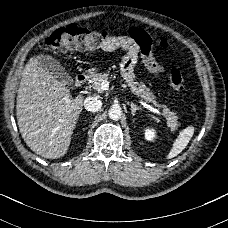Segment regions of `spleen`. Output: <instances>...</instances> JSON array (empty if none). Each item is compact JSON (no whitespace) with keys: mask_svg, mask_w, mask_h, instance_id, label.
Wrapping results in <instances>:
<instances>
[{"mask_svg":"<svg viewBox=\"0 0 228 228\" xmlns=\"http://www.w3.org/2000/svg\"><path fill=\"white\" fill-rule=\"evenodd\" d=\"M194 134V127L188 126L187 128L183 129L177 139L174 141L173 146L167 155L168 159L176 157L178 154H180L188 145L189 141L191 140L192 136Z\"/></svg>","mask_w":228,"mask_h":228,"instance_id":"1","label":"spleen"}]
</instances>
